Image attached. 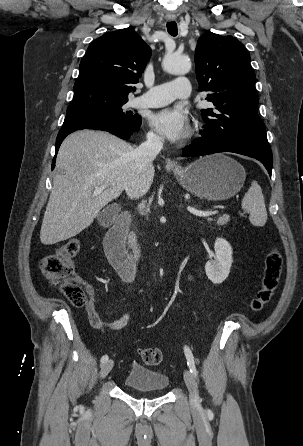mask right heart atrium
Instances as JSON below:
<instances>
[{"label": "right heart atrium", "instance_id": "obj_1", "mask_svg": "<svg viewBox=\"0 0 303 446\" xmlns=\"http://www.w3.org/2000/svg\"><path fill=\"white\" fill-rule=\"evenodd\" d=\"M147 137H148V140L152 143H158L161 140L160 136L157 133H155L154 131H150L148 133Z\"/></svg>", "mask_w": 303, "mask_h": 446}]
</instances>
